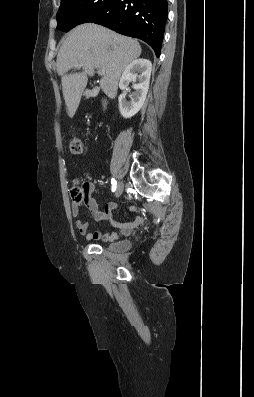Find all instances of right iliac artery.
I'll list each match as a JSON object with an SVG mask.
<instances>
[{
    "label": "right iliac artery",
    "instance_id": "right-iliac-artery-1",
    "mask_svg": "<svg viewBox=\"0 0 254 397\" xmlns=\"http://www.w3.org/2000/svg\"><path fill=\"white\" fill-rule=\"evenodd\" d=\"M111 184H112V191H115L117 182L114 178L111 179Z\"/></svg>",
    "mask_w": 254,
    "mask_h": 397
}]
</instances>
